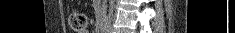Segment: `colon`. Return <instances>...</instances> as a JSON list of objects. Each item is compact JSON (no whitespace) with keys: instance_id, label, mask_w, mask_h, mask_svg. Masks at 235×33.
I'll return each instance as SVG.
<instances>
[{"instance_id":"colon-1","label":"colon","mask_w":235,"mask_h":33,"mask_svg":"<svg viewBox=\"0 0 235 33\" xmlns=\"http://www.w3.org/2000/svg\"><path fill=\"white\" fill-rule=\"evenodd\" d=\"M69 25L73 33H85L88 20L85 14L74 12L69 17Z\"/></svg>"}]
</instances>
